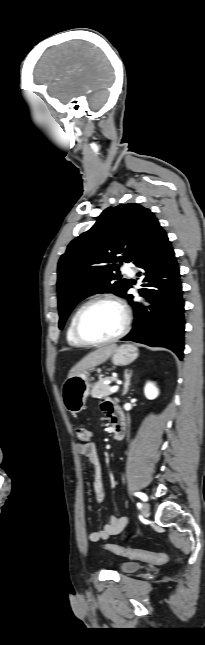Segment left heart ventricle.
<instances>
[{
    "label": "left heart ventricle",
    "mask_w": 205,
    "mask_h": 645,
    "mask_svg": "<svg viewBox=\"0 0 205 645\" xmlns=\"http://www.w3.org/2000/svg\"><path fill=\"white\" fill-rule=\"evenodd\" d=\"M122 324L123 315L117 306L100 303L85 311L81 320V330L87 338L101 340L115 335Z\"/></svg>",
    "instance_id": "b2bd125f"
}]
</instances>
